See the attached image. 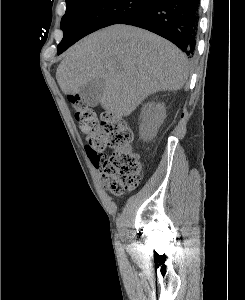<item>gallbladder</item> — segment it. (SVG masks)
<instances>
[{"instance_id": "gallbladder-1", "label": "gallbladder", "mask_w": 245, "mask_h": 300, "mask_svg": "<svg viewBox=\"0 0 245 300\" xmlns=\"http://www.w3.org/2000/svg\"><path fill=\"white\" fill-rule=\"evenodd\" d=\"M104 80H94L83 86L79 92L82 100L87 106L96 107L103 94Z\"/></svg>"}]
</instances>
